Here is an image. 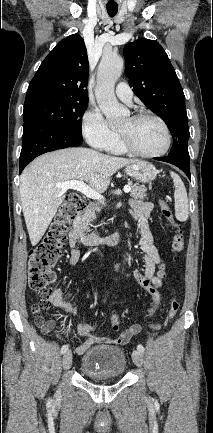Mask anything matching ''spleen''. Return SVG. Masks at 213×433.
I'll list each match as a JSON object with an SVG mask.
<instances>
[{
	"mask_svg": "<svg viewBox=\"0 0 213 433\" xmlns=\"http://www.w3.org/2000/svg\"><path fill=\"white\" fill-rule=\"evenodd\" d=\"M170 174L175 187V216L177 220L184 222L189 216L187 191L181 178L174 172H170Z\"/></svg>",
	"mask_w": 213,
	"mask_h": 433,
	"instance_id": "spleen-1",
	"label": "spleen"
}]
</instances>
